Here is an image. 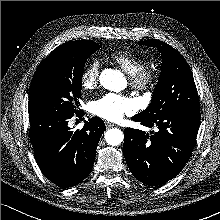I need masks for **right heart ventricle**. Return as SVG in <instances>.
Listing matches in <instances>:
<instances>
[{
    "label": "right heart ventricle",
    "mask_w": 220,
    "mask_h": 220,
    "mask_svg": "<svg viewBox=\"0 0 220 220\" xmlns=\"http://www.w3.org/2000/svg\"><path fill=\"white\" fill-rule=\"evenodd\" d=\"M111 59L130 76L145 69L146 63L128 50H119L111 54Z\"/></svg>",
    "instance_id": "1"
}]
</instances>
